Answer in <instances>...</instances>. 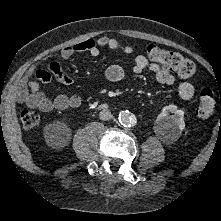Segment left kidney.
Here are the masks:
<instances>
[{
	"mask_svg": "<svg viewBox=\"0 0 221 221\" xmlns=\"http://www.w3.org/2000/svg\"><path fill=\"white\" fill-rule=\"evenodd\" d=\"M174 113V115H169ZM157 132L167 139H176L185 128L184 111L177 109L175 105L165 106L156 119Z\"/></svg>",
	"mask_w": 221,
	"mask_h": 221,
	"instance_id": "left-kidney-1",
	"label": "left kidney"
}]
</instances>
